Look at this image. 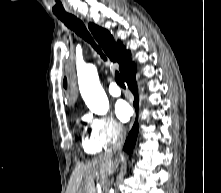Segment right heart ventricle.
Wrapping results in <instances>:
<instances>
[{
  "label": "right heart ventricle",
  "instance_id": "right-heart-ventricle-1",
  "mask_svg": "<svg viewBox=\"0 0 221 193\" xmlns=\"http://www.w3.org/2000/svg\"><path fill=\"white\" fill-rule=\"evenodd\" d=\"M82 146L86 153L88 154H97L100 153L103 150V146L97 142L94 137L91 136H85L82 140Z\"/></svg>",
  "mask_w": 221,
  "mask_h": 193
}]
</instances>
